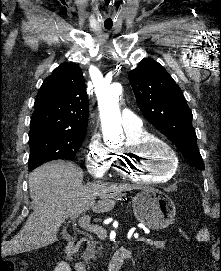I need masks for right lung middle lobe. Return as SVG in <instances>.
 Returning a JSON list of instances; mask_svg holds the SVG:
<instances>
[{
	"mask_svg": "<svg viewBox=\"0 0 221 271\" xmlns=\"http://www.w3.org/2000/svg\"><path fill=\"white\" fill-rule=\"evenodd\" d=\"M85 136L86 132H64L49 129L30 131L29 170L55 159L71 160L81 147Z\"/></svg>",
	"mask_w": 221,
	"mask_h": 271,
	"instance_id": "dd1d6c3e",
	"label": "right lung middle lobe"
}]
</instances>
